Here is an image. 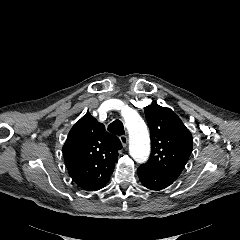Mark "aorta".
<instances>
[{"label": "aorta", "mask_w": 240, "mask_h": 240, "mask_svg": "<svg viewBox=\"0 0 240 240\" xmlns=\"http://www.w3.org/2000/svg\"><path fill=\"white\" fill-rule=\"evenodd\" d=\"M124 121L129 132V153L137 163L147 161L150 154V139L145 122L134 110L124 114Z\"/></svg>", "instance_id": "obj_1"}]
</instances>
